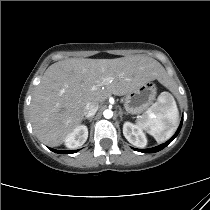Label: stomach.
I'll list each match as a JSON object with an SVG mask.
<instances>
[{"label": "stomach", "instance_id": "stomach-1", "mask_svg": "<svg viewBox=\"0 0 210 210\" xmlns=\"http://www.w3.org/2000/svg\"><path fill=\"white\" fill-rule=\"evenodd\" d=\"M156 85L147 82L126 94L124 106L131 114H141L147 110L156 97Z\"/></svg>", "mask_w": 210, "mask_h": 210}]
</instances>
